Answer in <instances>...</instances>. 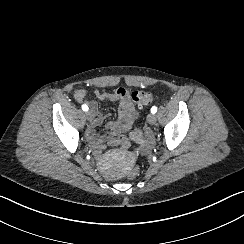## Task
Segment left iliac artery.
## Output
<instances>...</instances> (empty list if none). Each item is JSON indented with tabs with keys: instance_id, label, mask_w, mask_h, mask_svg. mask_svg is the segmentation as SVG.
<instances>
[{
	"instance_id": "1",
	"label": "left iliac artery",
	"mask_w": 244,
	"mask_h": 244,
	"mask_svg": "<svg viewBox=\"0 0 244 244\" xmlns=\"http://www.w3.org/2000/svg\"><path fill=\"white\" fill-rule=\"evenodd\" d=\"M157 112V107L156 106H153L152 108H151V113H156Z\"/></svg>"
}]
</instances>
